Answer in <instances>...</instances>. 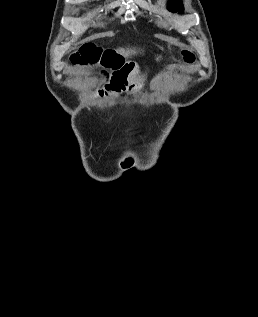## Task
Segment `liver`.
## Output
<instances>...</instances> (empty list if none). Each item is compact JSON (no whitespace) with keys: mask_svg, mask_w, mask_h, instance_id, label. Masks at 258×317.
<instances>
[{"mask_svg":"<svg viewBox=\"0 0 258 317\" xmlns=\"http://www.w3.org/2000/svg\"><path fill=\"white\" fill-rule=\"evenodd\" d=\"M117 52H119V54H122V56H130V54H135L136 50H131V48H129V50H126V48H118Z\"/></svg>","mask_w":258,"mask_h":317,"instance_id":"6515ba94","label":"liver"}]
</instances>
